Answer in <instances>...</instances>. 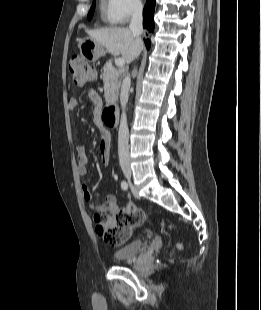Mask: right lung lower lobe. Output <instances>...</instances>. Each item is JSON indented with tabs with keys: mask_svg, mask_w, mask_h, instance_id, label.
<instances>
[{
	"mask_svg": "<svg viewBox=\"0 0 261 310\" xmlns=\"http://www.w3.org/2000/svg\"><path fill=\"white\" fill-rule=\"evenodd\" d=\"M154 10H155V0H147L144 10H143V28L148 32H153L154 30ZM147 48L150 47V41L145 40Z\"/></svg>",
	"mask_w": 261,
	"mask_h": 310,
	"instance_id": "1",
	"label": "right lung lower lobe"
}]
</instances>
